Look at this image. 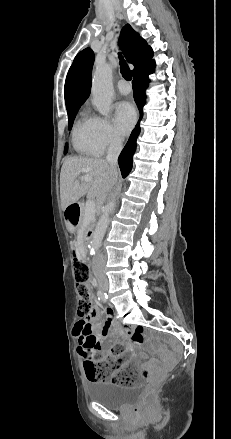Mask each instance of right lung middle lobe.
Masks as SVG:
<instances>
[{
    "label": "right lung middle lobe",
    "instance_id": "obj_1",
    "mask_svg": "<svg viewBox=\"0 0 231 439\" xmlns=\"http://www.w3.org/2000/svg\"><path fill=\"white\" fill-rule=\"evenodd\" d=\"M79 108H80V107H76V108H73V109L67 110L68 118H69V119H68V129H69V130H71V128H72L73 121H74V119H75V116H76V114H77ZM67 150H68V145L65 146L64 154L67 153Z\"/></svg>",
    "mask_w": 231,
    "mask_h": 439
}]
</instances>
